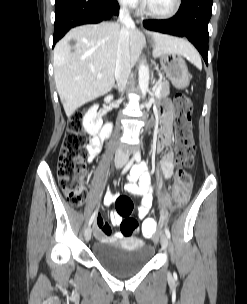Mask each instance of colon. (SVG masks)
<instances>
[{
	"label": "colon",
	"instance_id": "1",
	"mask_svg": "<svg viewBox=\"0 0 247 304\" xmlns=\"http://www.w3.org/2000/svg\"><path fill=\"white\" fill-rule=\"evenodd\" d=\"M192 102L183 95L175 97V150L180 169L176 173L172 188V197L178 206L187 198L191 184L190 175L184 168L193 165L195 144L191 124ZM83 114L74 113L67 125L66 134L58 158L57 175L68 202L80 207L85 203L86 192L83 179L86 173L85 156L87 154L86 140L83 131ZM133 203L128 197H120L116 203V213L124 218L120 223L121 233L126 237H135L140 233V226L136 219L130 215ZM157 229L155 220L148 219L144 223L143 237L151 238Z\"/></svg>",
	"mask_w": 247,
	"mask_h": 304
}]
</instances>
